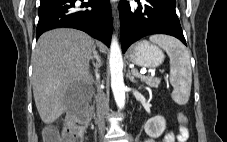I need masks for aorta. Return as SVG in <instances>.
Listing matches in <instances>:
<instances>
[{"instance_id":"aorta-1","label":"aorta","mask_w":227,"mask_h":142,"mask_svg":"<svg viewBox=\"0 0 227 142\" xmlns=\"http://www.w3.org/2000/svg\"><path fill=\"white\" fill-rule=\"evenodd\" d=\"M109 67L111 74V88L117 106H125V85L123 80V58L117 38L113 37L110 46Z\"/></svg>"}]
</instances>
